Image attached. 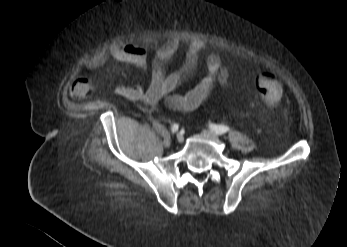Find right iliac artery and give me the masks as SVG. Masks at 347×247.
Here are the masks:
<instances>
[{
	"mask_svg": "<svg viewBox=\"0 0 347 247\" xmlns=\"http://www.w3.org/2000/svg\"><path fill=\"white\" fill-rule=\"evenodd\" d=\"M179 129V125L178 124H174L171 128V132L174 134L178 131Z\"/></svg>",
	"mask_w": 347,
	"mask_h": 247,
	"instance_id": "right-iliac-artery-1",
	"label": "right iliac artery"
}]
</instances>
